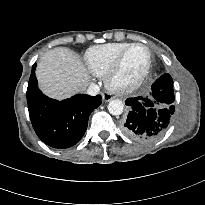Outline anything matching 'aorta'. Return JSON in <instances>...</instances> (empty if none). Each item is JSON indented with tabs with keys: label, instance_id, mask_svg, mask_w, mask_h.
<instances>
[{
	"label": "aorta",
	"instance_id": "aorta-1",
	"mask_svg": "<svg viewBox=\"0 0 205 205\" xmlns=\"http://www.w3.org/2000/svg\"><path fill=\"white\" fill-rule=\"evenodd\" d=\"M124 104L119 99H113L108 104V111L112 115H121L123 113Z\"/></svg>",
	"mask_w": 205,
	"mask_h": 205
}]
</instances>
